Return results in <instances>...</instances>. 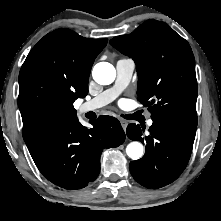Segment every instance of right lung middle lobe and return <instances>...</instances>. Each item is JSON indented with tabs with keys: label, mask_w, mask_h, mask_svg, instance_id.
Segmentation results:
<instances>
[{
	"label": "right lung middle lobe",
	"mask_w": 221,
	"mask_h": 221,
	"mask_svg": "<svg viewBox=\"0 0 221 221\" xmlns=\"http://www.w3.org/2000/svg\"><path fill=\"white\" fill-rule=\"evenodd\" d=\"M72 116H76V110H74L72 113L61 110L56 113L55 118H67Z\"/></svg>",
	"instance_id": "1"
}]
</instances>
